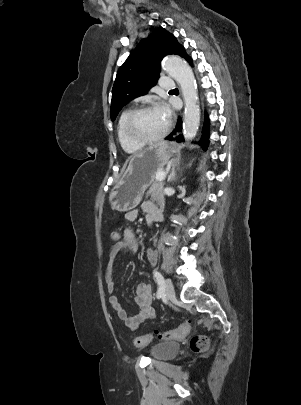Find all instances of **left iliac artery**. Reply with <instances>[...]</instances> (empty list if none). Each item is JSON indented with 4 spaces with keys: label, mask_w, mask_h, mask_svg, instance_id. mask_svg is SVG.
I'll return each mask as SVG.
<instances>
[{
    "label": "left iliac artery",
    "mask_w": 301,
    "mask_h": 405,
    "mask_svg": "<svg viewBox=\"0 0 301 405\" xmlns=\"http://www.w3.org/2000/svg\"><path fill=\"white\" fill-rule=\"evenodd\" d=\"M153 275L154 278L156 279V282L158 284V290H157V298L160 299L163 295H164V291H165V282L163 279V276L161 275V273L157 270L153 271Z\"/></svg>",
    "instance_id": "left-iliac-artery-1"
}]
</instances>
